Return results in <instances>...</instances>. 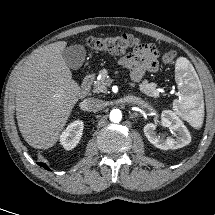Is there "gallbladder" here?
<instances>
[{
  "instance_id": "obj_1",
  "label": "gallbladder",
  "mask_w": 215,
  "mask_h": 215,
  "mask_svg": "<svg viewBox=\"0 0 215 215\" xmlns=\"http://www.w3.org/2000/svg\"><path fill=\"white\" fill-rule=\"evenodd\" d=\"M62 57L71 69L76 70L83 65L86 57V51L80 44L67 46L62 51Z\"/></svg>"
}]
</instances>
